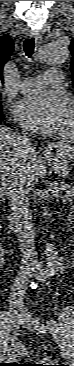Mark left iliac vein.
Instances as JSON below:
<instances>
[{
    "label": "left iliac vein",
    "mask_w": 74,
    "mask_h": 366,
    "mask_svg": "<svg viewBox=\"0 0 74 366\" xmlns=\"http://www.w3.org/2000/svg\"><path fill=\"white\" fill-rule=\"evenodd\" d=\"M22 323L25 324L30 330H32L36 333H46V331L49 329V327L47 325L42 324L37 319H34L27 312L24 313ZM60 348H61V351H62V356L65 359H68L69 358V349L67 348L66 344L61 342L60 343Z\"/></svg>",
    "instance_id": "4c4485c4"
}]
</instances>
